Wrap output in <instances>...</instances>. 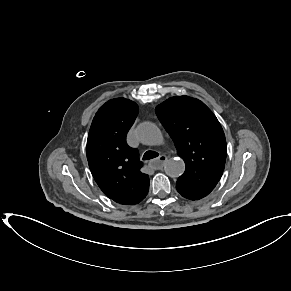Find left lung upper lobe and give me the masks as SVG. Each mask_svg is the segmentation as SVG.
<instances>
[{
	"label": "left lung upper lobe",
	"instance_id": "obj_1",
	"mask_svg": "<svg viewBox=\"0 0 291 291\" xmlns=\"http://www.w3.org/2000/svg\"><path fill=\"white\" fill-rule=\"evenodd\" d=\"M156 114L186 165L176 182L177 191L190 199L204 198L219 182L226 161V139L219 121L202 101L184 95L159 104Z\"/></svg>",
	"mask_w": 291,
	"mask_h": 291
}]
</instances>
